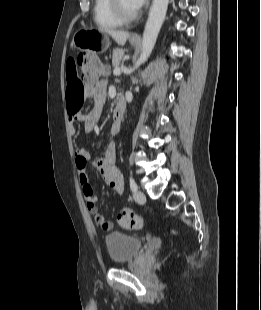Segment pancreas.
I'll return each instance as SVG.
<instances>
[{
    "mask_svg": "<svg viewBox=\"0 0 261 310\" xmlns=\"http://www.w3.org/2000/svg\"><path fill=\"white\" fill-rule=\"evenodd\" d=\"M124 57V51L120 49L113 50V56H112V64L113 66L119 67L121 60Z\"/></svg>",
    "mask_w": 261,
    "mask_h": 310,
    "instance_id": "obj_1",
    "label": "pancreas"
}]
</instances>
